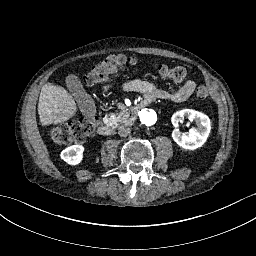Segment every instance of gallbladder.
Here are the masks:
<instances>
[{"mask_svg":"<svg viewBox=\"0 0 256 256\" xmlns=\"http://www.w3.org/2000/svg\"><path fill=\"white\" fill-rule=\"evenodd\" d=\"M68 90L73 94L80 111L85 117H92L96 113V106L92 97L85 92L77 75L69 74L66 77Z\"/></svg>","mask_w":256,"mask_h":256,"instance_id":"1","label":"gallbladder"}]
</instances>
